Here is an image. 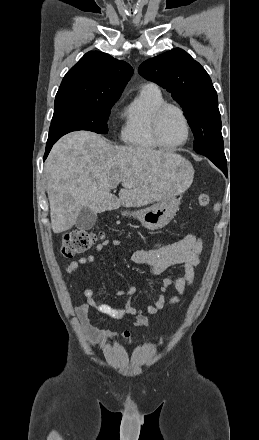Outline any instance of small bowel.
<instances>
[{
    "label": "small bowel",
    "mask_w": 259,
    "mask_h": 440,
    "mask_svg": "<svg viewBox=\"0 0 259 440\" xmlns=\"http://www.w3.org/2000/svg\"><path fill=\"white\" fill-rule=\"evenodd\" d=\"M122 241L114 239L112 241L104 240L96 246L97 251H101L105 246H119ZM203 251V242L200 237L194 233H186L181 239L169 245L160 247L155 250H136L132 254V261L135 264L145 266L152 276H159L165 270L173 266H181V273L174 277L167 275L163 279L161 292L158 294L156 301L153 304L145 307H137L129 299L122 309H116L111 305L97 300L93 297V291L85 287L84 296L87 299V304L78 306L76 311L82 323L86 336L91 339H98L100 341H113L118 337L130 339L132 333L128 330L121 334L99 330L92 327L88 323V313L90 308L97 310L100 313L114 318H122L126 315L133 316L136 319V325L140 327L149 324V315H153L161 311L167 304L173 305L179 302L180 296L193 284L195 279V267L201 262V255ZM96 260L93 254L84 256L77 261H71L67 264L64 271L69 274L78 271L82 266L92 264ZM173 285L177 291V296L172 297L168 302L165 298V292L169 286ZM135 287H129L125 290L117 292L118 296L133 297L136 294Z\"/></svg>",
    "instance_id": "1"
}]
</instances>
